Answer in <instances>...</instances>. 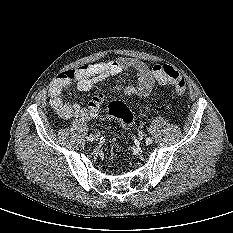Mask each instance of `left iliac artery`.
Returning a JSON list of instances; mask_svg holds the SVG:
<instances>
[{"mask_svg": "<svg viewBox=\"0 0 233 233\" xmlns=\"http://www.w3.org/2000/svg\"><path fill=\"white\" fill-rule=\"evenodd\" d=\"M146 143H147V144H151V143H152V139H151V138H147V139H146Z\"/></svg>", "mask_w": 233, "mask_h": 233, "instance_id": "obj_1", "label": "left iliac artery"}]
</instances>
